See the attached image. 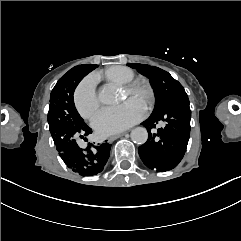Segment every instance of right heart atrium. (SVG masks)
Listing matches in <instances>:
<instances>
[{
	"label": "right heart atrium",
	"instance_id": "obj_1",
	"mask_svg": "<svg viewBox=\"0 0 241 241\" xmlns=\"http://www.w3.org/2000/svg\"><path fill=\"white\" fill-rule=\"evenodd\" d=\"M100 77L90 74L74 93V105L83 118H90L99 107L95 91L99 88Z\"/></svg>",
	"mask_w": 241,
	"mask_h": 241
}]
</instances>
